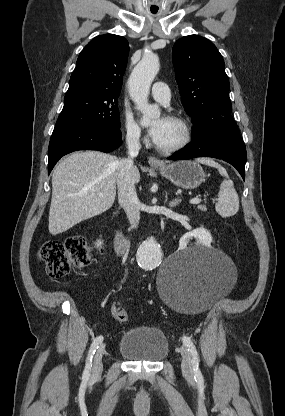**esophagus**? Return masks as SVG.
<instances>
[{
  "instance_id": "34e87169",
  "label": "esophagus",
  "mask_w": 285,
  "mask_h": 416,
  "mask_svg": "<svg viewBox=\"0 0 285 416\" xmlns=\"http://www.w3.org/2000/svg\"><path fill=\"white\" fill-rule=\"evenodd\" d=\"M148 163L152 166L153 165H156V166H161L162 165V163L159 160H157V158H155V156H150L148 158Z\"/></svg>"
}]
</instances>
